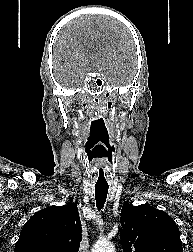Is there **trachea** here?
Instances as JSON below:
<instances>
[{"label":"trachea","instance_id":"1","mask_svg":"<svg viewBox=\"0 0 193 252\" xmlns=\"http://www.w3.org/2000/svg\"><path fill=\"white\" fill-rule=\"evenodd\" d=\"M108 184H96L95 185V199L96 206L99 210L104 207L108 194Z\"/></svg>","mask_w":193,"mask_h":252}]
</instances>
